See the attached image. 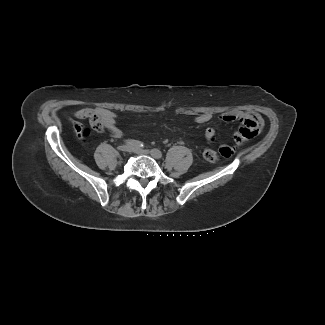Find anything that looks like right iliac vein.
Here are the masks:
<instances>
[{
	"instance_id": "right-iliac-vein-1",
	"label": "right iliac vein",
	"mask_w": 325,
	"mask_h": 325,
	"mask_svg": "<svg viewBox=\"0 0 325 325\" xmlns=\"http://www.w3.org/2000/svg\"><path fill=\"white\" fill-rule=\"evenodd\" d=\"M119 150L122 152H131L132 147L129 145H121V146H119Z\"/></svg>"
}]
</instances>
